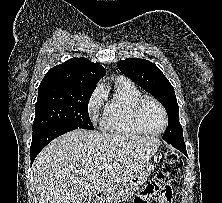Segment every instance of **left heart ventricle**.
Listing matches in <instances>:
<instances>
[{
	"label": "left heart ventricle",
	"mask_w": 222,
	"mask_h": 203,
	"mask_svg": "<svg viewBox=\"0 0 222 203\" xmlns=\"http://www.w3.org/2000/svg\"><path fill=\"white\" fill-rule=\"evenodd\" d=\"M141 118L144 125L151 131H159L163 127L164 117L162 111L152 102H147L143 106Z\"/></svg>",
	"instance_id": "1"
}]
</instances>
